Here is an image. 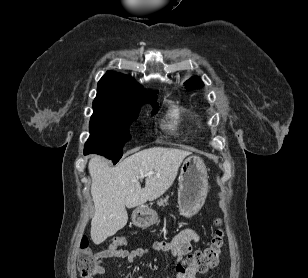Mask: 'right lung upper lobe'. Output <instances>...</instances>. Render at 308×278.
I'll return each mask as SVG.
<instances>
[{
	"label": "right lung upper lobe",
	"instance_id": "cb5924a9",
	"mask_svg": "<svg viewBox=\"0 0 308 278\" xmlns=\"http://www.w3.org/2000/svg\"><path fill=\"white\" fill-rule=\"evenodd\" d=\"M156 100V96L148 95L133 78L108 71L98 82L91 119H127L138 114L145 102Z\"/></svg>",
	"mask_w": 308,
	"mask_h": 278
}]
</instances>
